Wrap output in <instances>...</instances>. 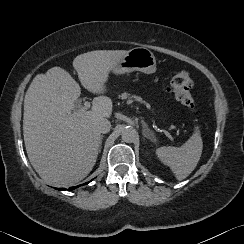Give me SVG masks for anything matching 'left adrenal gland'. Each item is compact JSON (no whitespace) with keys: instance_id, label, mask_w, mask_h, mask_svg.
Here are the masks:
<instances>
[{"instance_id":"1","label":"left adrenal gland","mask_w":244,"mask_h":244,"mask_svg":"<svg viewBox=\"0 0 244 244\" xmlns=\"http://www.w3.org/2000/svg\"><path fill=\"white\" fill-rule=\"evenodd\" d=\"M142 123V127H143V130H142V133L144 135V137H146L147 139H150L152 141H155V135L154 133L148 128L146 122L144 120L141 121Z\"/></svg>"}]
</instances>
